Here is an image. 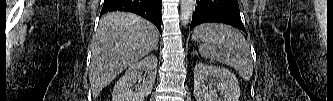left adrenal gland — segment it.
Wrapping results in <instances>:
<instances>
[{"label": "left adrenal gland", "mask_w": 333, "mask_h": 101, "mask_svg": "<svg viewBox=\"0 0 333 101\" xmlns=\"http://www.w3.org/2000/svg\"><path fill=\"white\" fill-rule=\"evenodd\" d=\"M195 54L198 56V54H197V52H196V51H194V52H193V55H195Z\"/></svg>", "instance_id": "left-adrenal-gland-1"}]
</instances>
